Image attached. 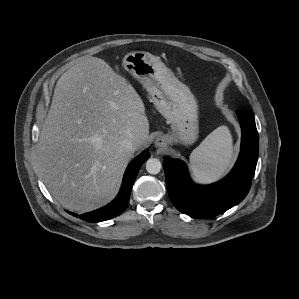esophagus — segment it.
Masks as SVG:
<instances>
[{"label":"esophagus","mask_w":299,"mask_h":299,"mask_svg":"<svg viewBox=\"0 0 299 299\" xmlns=\"http://www.w3.org/2000/svg\"><path fill=\"white\" fill-rule=\"evenodd\" d=\"M163 144H164L163 139H161V138H157V139H156V141H155V145H156L157 147H161V146H163Z\"/></svg>","instance_id":"34e87169"}]
</instances>
